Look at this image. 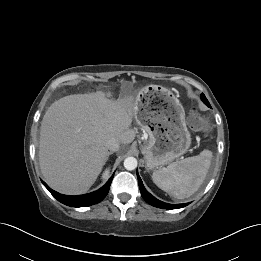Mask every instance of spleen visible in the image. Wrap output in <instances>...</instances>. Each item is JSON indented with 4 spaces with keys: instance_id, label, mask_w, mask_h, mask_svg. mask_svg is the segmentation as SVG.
Wrapping results in <instances>:
<instances>
[{
    "instance_id": "spleen-1",
    "label": "spleen",
    "mask_w": 261,
    "mask_h": 261,
    "mask_svg": "<svg viewBox=\"0 0 261 261\" xmlns=\"http://www.w3.org/2000/svg\"><path fill=\"white\" fill-rule=\"evenodd\" d=\"M212 152L203 150L199 155L173 162L153 172V182L178 199L192 196L202 185L211 165Z\"/></svg>"
}]
</instances>
